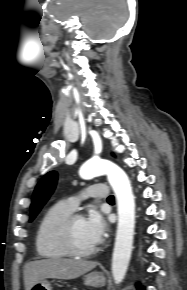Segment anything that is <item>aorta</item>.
I'll return each mask as SVG.
<instances>
[{
  "label": "aorta",
  "instance_id": "aorta-1",
  "mask_svg": "<svg viewBox=\"0 0 187 290\" xmlns=\"http://www.w3.org/2000/svg\"><path fill=\"white\" fill-rule=\"evenodd\" d=\"M79 174L85 180L107 175L114 190L118 207V225L111 270L115 283L120 284L126 275L131 258L135 227V199L130 181L121 168L101 159H92L84 163Z\"/></svg>",
  "mask_w": 187,
  "mask_h": 290
}]
</instances>
